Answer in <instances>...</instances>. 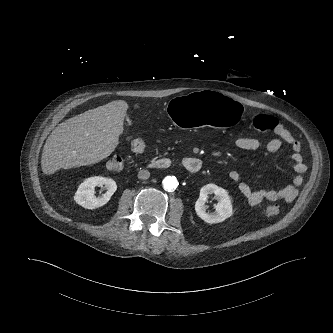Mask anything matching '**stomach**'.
Masks as SVG:
<instances>
[{
    "instance_id": "obj_1",
    "label": "stomach",
    "mask_w": 333,
    "mask_h": 333,
    "mask_svg": "<svg viewBox=\"0 0 333 333\" xmlns=\"http://www.w3.org/2000/svg\"><path fill=\"white\" fill-rule=\"evenodd\" d=\"M167 110L177 124L187 128L216 125L231 129L243 117V108L237 99L213 91H197L174 97Z\"/></svg>"
}]
</instances>
